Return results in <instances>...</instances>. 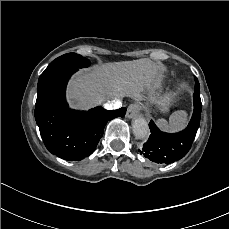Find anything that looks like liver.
<instances>
[{"label": "liver", "mask_w": 229, "mask_h": 229, "mask_svg": "<svg viewBox=\"0 0 229 229\" xmlns=\"http://www.w3.org/2000/svg\"><path fill=\"white\" fill-rule=\"evenodd\" d=\"M165 70L161 62L155 63L148 58L99 64L73 76L67 98L72 108L89 109L114 96H128L139 101L144 98L142 93L146 90L151 103L169 106L168 95L156 93Z\"/></svg>", "instance_id": "obj_1"}]
</instances>
